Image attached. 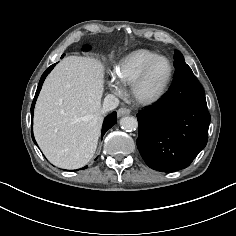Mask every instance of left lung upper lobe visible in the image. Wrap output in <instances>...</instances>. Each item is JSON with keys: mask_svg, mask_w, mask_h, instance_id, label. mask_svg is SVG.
I'll list each match as a JSON object with an SVG mask.
<instances>
[{"mask_svg": "<svg viewBox=\"0 0 236 236\" xmlns=\"http://www.w3.org/2000/svg\"><path fill=\"white\" fill-rule=\"evenodd\" d=\"M185 65H187V64L185 63L183 55L181 54L180 51L175 50V53H174V66H175V68L185 66Z\"/></svg>", "mask_w": 236, "mask_h": 236, "instance_id": "5c2ea615", "label": "left lung upper lobe"}]
</instances>
